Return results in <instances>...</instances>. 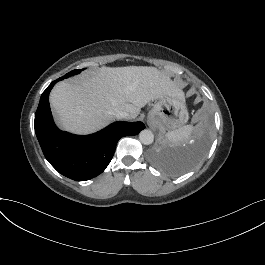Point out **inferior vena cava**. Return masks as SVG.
Segmentation results:
<instances>
[{"instance_id": "inferior-vena-cava-1", "label": "inferior vena cava", "mask_w": 265, "mask_h": 265, "mask_svg": "<svg viewBox=\"0 0 265 265\" xmlns=\"http://www.w3.org/2000/svg\"><path fill=\"white\" fill-rule=\"evenodd\" d=\"M113 115L119 119H127L128 118V113L124 110H121V109L113 111Z\"/></svg>"}]
</instances>
